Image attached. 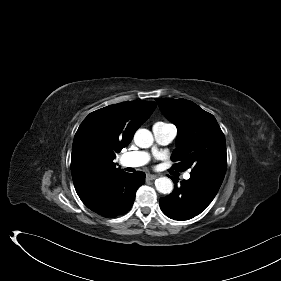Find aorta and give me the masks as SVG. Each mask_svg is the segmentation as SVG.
I'll return each mask as SVG.
<instances>
[{"label": "aorta", "instance_id": "762f6f07", "mask_svg": "<svg viewBox=\"0 0 281 281\" xmlns=\"http://www.w3.org/2000/svg\"><path fill=\"white\" fill-rule=\"evenodd\" d=\"M153 141V135L147 129H138L134 135V142L140 148H149ZM155 187L162 194H170L173 190V183L167 177H160L155 180Z\"/></svg>", "mask_w": 281, "mask_h": 281}]
</instances>
